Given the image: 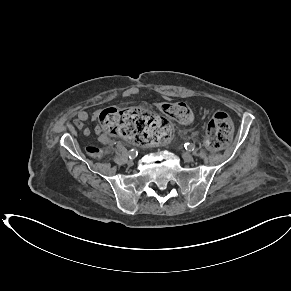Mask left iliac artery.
I'll use <instances>...</instances> for the list:
<instances>
[{
  "mask_svg": "<svg viewBox=\"0 0 291 291\" xmlns=\"http://www.w3.org/2000/svg\"><path fill=\"white\" fill-rule=\"evenodd\" d=\"M184 147H185V149H187L189 151L194 150V148H195V146L193 144H190V143H185Z\"/></svg>",
  "mask_w": 291,
  "mask_h": 291,
  "instance_id": "1",
  "label": "left iliac artery"
}]
</instances>
